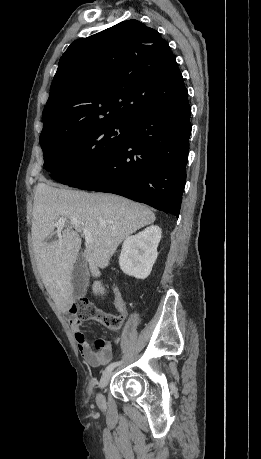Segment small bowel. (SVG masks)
I'll return each instance as SVG.
<instances>
[{
  "label": "small bowel",
  "instance_id": "c3829d8e",
  "mask_svg": "<svg viewBox=\"0 0 261 459\" xmlns=\"http://www.w3.org/2000/svg\"><path fill=\"white\" fill-rule=\"evenodd\" d=\"M112 291L116 309L123 317L127 316V307L117 286L113 285ZM70 327L77 342L78 349L83 359L89 365L99 367L110 362L113 349L109 341L98 338L95 341V348H92L82 330V324L77 318L72 317L70 319Z\"/></svg>",
  "mask_w": 261,
  "mask_h": 459
}]
</instances>
